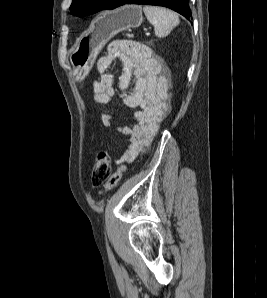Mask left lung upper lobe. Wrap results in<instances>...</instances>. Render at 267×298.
Instances as JSON below:
<instances>
[{
	"instance_id": "5c2ea615",
	"label": "left lung upper lobe",
	"mask_w": 267,
	"mask_h": 298,
	"mask_svg": "<svg viewBox=\"0 0 267 298\" xmlns=\"http://www.w3.org/2000/svg\"><path fill=\"white\" fill-rule=\"evenodd\" d=\"M119 0H73L70 11L73 15L83 17L103 9H114Z\"/></svg>"
}]
</instances>
